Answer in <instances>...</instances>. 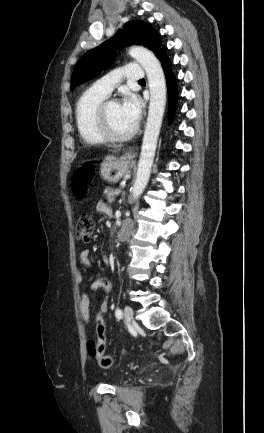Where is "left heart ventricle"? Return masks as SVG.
Returning <instances> with one entry per match:
<instances>
[{"mask_svg": "<svg viewBox=\"0 0 264 433\" xmlns=\"http://www.w3.org/2000/svg\"><path fill=\"white\" fill-rule=\"evenodd\" d=\"M107 116L111 129L117 134H124L135 126L124 113L119 103L112 104L108 107Z\"/></svg>", "mask_w": 264, "mask_h": 433, "instance_id": "b2bd125f", "label": "left heart ventricle"}]
</instances>
